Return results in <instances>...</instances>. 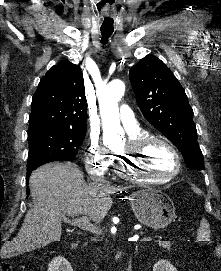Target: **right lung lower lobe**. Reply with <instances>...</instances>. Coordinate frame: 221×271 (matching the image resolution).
<instances>
[{"label":"right lung lower lobe","instance_id":"1","mask_svg":"<svg viewBox=\"0 0 221 271\" xmlns=\"http://www.w3.org/2000/svg\"><path fill=\"white\" fill-rule=\"evenodd\" d=\"M30 174H31V171H27V178H29ZM27 194H29V190H27Z\"/></svg>","mask_w":221,"mask_h":271}]
</instances>
